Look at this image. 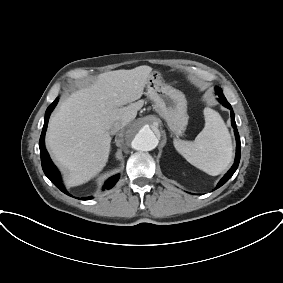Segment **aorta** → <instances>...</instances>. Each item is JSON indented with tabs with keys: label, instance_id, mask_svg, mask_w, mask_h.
Listing matches in <instances>:
<instances>
[{
	"label": "aorta",
	"instance_id": "1",
	"mask_svg": "<svg viewBox=\"0 0 283 283\" xmlns=\"http://www.w3.org/2000/svg\"><path fill=\"white\" fill-rule=\"evenodd\" d=\"M129 138L133 149L138 151H151L158 145V139L148 125L132 127Z\"/></svg>",
	"mask_w": 283,
	"mask_h": 283
}]
</instances>
